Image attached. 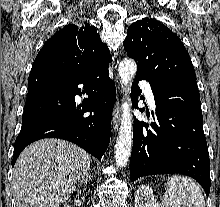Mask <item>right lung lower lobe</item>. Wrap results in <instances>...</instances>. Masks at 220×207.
I'll use <instances>...</instances> for the list:
<instances>
[{"mask_svg": "<svg viewBox=\"0 0 220 207\" xmlns=\"http://www.w3.org/2000/svg\"><path fill=\"white\" fill-rule=\"evenodd\" d=\"M109 62L101 61L79 74L41 71L30 73L22 127L15 141L12 166L21 151L43 138L71 141L101 159L111 134L116 88L109 77ZM88 99L76 106L74 96ZM86 112L92 114L85 115Z\"/></svg>", "mask_w": 220, "mask_h": 207, "instance_id": "1", "label": "right lung lower lobe"}]
</instances>
